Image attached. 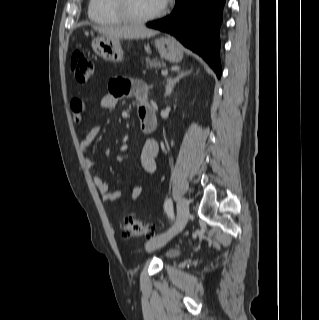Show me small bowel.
Instances as JSON below:
<instances>
[{"instance_id":"obj_1","label":"small bowel","mask_w":319,"mask_h":320,"mask_svg":"<svg viewBox=\"0 0 319 320\" xmlns=\"http://www.w3.org/2000/svg\"><path fill=\"white\" fill-rule=\"evenodd\" d=\"M128 97H135L138 99V112L144 107L151 106L147 98V86L143 81L121 77L112 78L110 80L109 92L101 97L99 105L103 110H112L115 108L119 99ZM71 109L75 115L76 121H80L83 110L82 101L75 99L71 103ZM99 132V127H93L84 133L80 142V147L84 152H86L95 141ZM158 153V143L154 139H147L144 142L139 155L140 166L145 172L154 173L156 171ZM86 164L89 169L94 168V162L89 157L86 158ZM93 179L105 202H113L122 195L123 192L121 190H110L108 183L101 176L95 175ZM141 193L142 188L139 185L133 186L129 193V200H136Z\"/></svg>"}]
</instances>
